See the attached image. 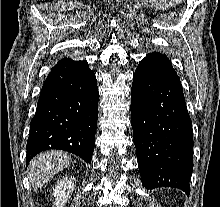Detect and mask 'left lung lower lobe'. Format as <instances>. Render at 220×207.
<instances>
[{"label":"left lung lower lobe","mask_w":220,"mask_h":207,"mask_svg":"<svg viewBox=\"0 0 220 207\" xmlns=\"http://www.w3.org/2000/svg\"><path fill=\"white\" fill-rule=\"evenodd\" d=\"M131 124L145 188L190 193L193 133L180 79L169 59L149 53L140 61L131 89Z\"/></svg>","instance_id":"left-lung-lower-lobe-1"}]
</instances>
